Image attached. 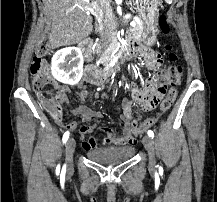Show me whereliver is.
I'll list each match as a JSON object with an SVG mask.
<instances>
[{"mask_svg":"<svg viewBox=\"0 0 217 202\" xmlns=\"http://www.w3.org/2000/svg\"><path fill=\"white\" fill-rule=\"evenodd\" d=\"M52 20L51 44L72 46L88 38L92 32V16H89L91 0H42Z\"/></svg>","mask_w":217,"mask_h":202,"instance_id":"1","label":"liver"}]
</instances>
